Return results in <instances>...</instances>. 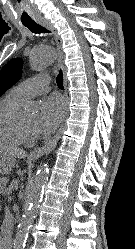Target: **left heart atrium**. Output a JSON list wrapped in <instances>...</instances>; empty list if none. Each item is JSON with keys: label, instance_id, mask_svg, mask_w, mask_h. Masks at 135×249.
Here are the masks:
<instances>
[{"label": "left heart atrium", "instance_id": "1", "mask_svg": "<svg viewBox=\"0 0 135 249\" xmlns=\"http://www.w3.org/2000/svg\"><path fill=\"white\" fill-rule=\"evenodd\" d=\"M64 100L59 95H51L40 104V110L35 120V131L41 134L52 132L61 122L65 113Z\"/></svg>", "mask_w": 135, "mask_h": 249}]
</instances>
